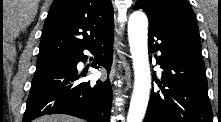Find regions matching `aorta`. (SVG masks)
I'll return each mask as SVG.
<instances>
[{"label":"aorta","mask_w":221,"mask_h":122,"mask_svg":"<svg viewBox=\"0 0 221 122\" xmlns=\"http://www.w3.org/2000/svg\"><path fill=\"white\" fill-rule=\"evenodd\" d=\"M128 39L135 80L127 122H142L151 88L148 56V19L142 11H135L130 15L128 20Z\"/></svg>","instance_id":"aorta-1"}]
</instances>
